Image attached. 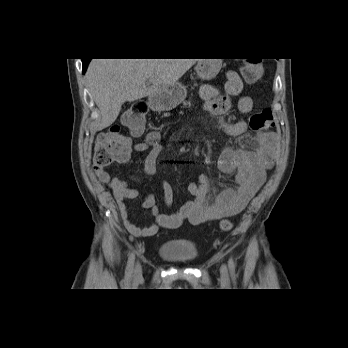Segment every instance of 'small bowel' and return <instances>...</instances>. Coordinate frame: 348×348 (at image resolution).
I'll list each match as a JSON object with an SVG mask.
<instances>
[{
    "mask_svg": "<svg viewBox=\"0 0 348 348\" xmlns=\"http://www.w3.org/2000/svg\"><path fill=\"white\" fill-rule=\"evenodd\" d=\"M242 90V80L234 71L227 73L222 89L210 84H204L200 88L204 109L217 118L218 127L229 136H240L247 130V122L244 120L228 122L224 119L225 114L232 110L242 114L252 110V99L241 95ZM233 97L238 99L232 101ZM276 140L275 133L261 132L256 136L254 150H225L219 158L218 165L222 172L235 177L237 185L235 188H226L221 191L211 203H208L207 196L213 180L206 176L201 177L199 183H193L188 187L192 200L175 213L163 212L157 205L156 195L146 196L142 207L150 210L154 216V221L148 225L136 224L129 214L126 202L138 197V191L135 188L119 177H111L104 168L95 166V173L103 184L111 188L127 231L135 237L152 236L162 228H176L185 220L192 225H201L240 213L262 186L267 170L274 163ZM161 149V144L156 141L139 142L133 146L132 150L135 152H148L141 175L132 177L133 180L141 181L155 172ZM128 159L129 155L120 163H125ZM161 193L165 206H170L173 201L171 186L168 183H162Z\"/></svg>",
    "mask_w": 348,
    "mask_h": 348,
    "instance_id": "1",
    "label": "small bowel"
}]
</instances>
